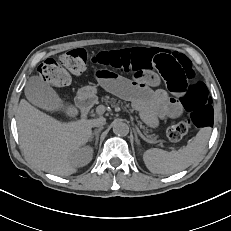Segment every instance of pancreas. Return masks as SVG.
I'll use <instances>...</instances> for the list:
<instances>
[{"mask_svg":"<svg viewBox=\"0 0 231 231\" xmlns=\"http://www.w3.org/2000/svg\"><path fill=\"white\" fill-rule=\"evenodd\" d=\"M102 102L106 105H111L112 107H116L120 105L121 101H117L115 98H110L109 96H105L102 98ZM129 106V105H127ZM139 126L143 130V133L146 137H148L151 141L157 142V137L152 134V130L149 129L147 126L143 125L142 121H139Z\"/></svg>","mask_w":231,"mask_h":231,"instance_id":"pancreas-1","label":"pancreas"}]
</instances>
